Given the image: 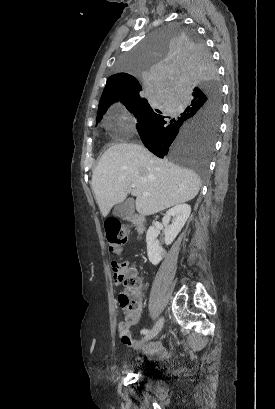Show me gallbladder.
I'll return each mask as SVG.
<instances>
[{
	"mask_svg": "<svg viewBox=\"0 0 275 409\" xmlns=\"http://www.w3.org/2000/svg\"><path fill=\"white\" fill-rule=\"evenodd\" d=\"M134 213V200L133 198H127L124 202H118V205L113 209V215L115 217H128Z\"/></svg>",
	"mask_w": 275,
	"mask_h": 409,
	"instance_id": "obj_1",
	"label": "gallbladder"
}]
</instances>
